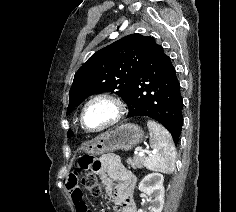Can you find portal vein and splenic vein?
Segmentation results:
<instances>
[{
    "label": "portal vein and splenic vein",
    "mask_w": 236,
    "mask_h": 212,
    "mask_svg": "<svg viewBox=\"0 0 236 212\" xmlns=\"http://www.w3.org/2000/svg\"><path fill=\"white\" fill-rule=\"evenodd\" d=\"M148 153H151V152H148ZM135 154H138L140 156H143L144 155V150L141 149V148H136L135 149Z\"/></svg>",
    "instance_id": "1"
}]
</instances>
